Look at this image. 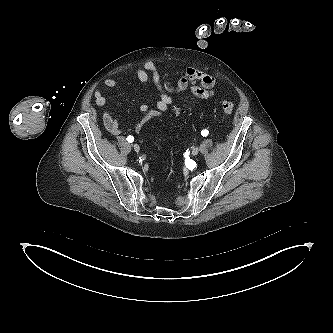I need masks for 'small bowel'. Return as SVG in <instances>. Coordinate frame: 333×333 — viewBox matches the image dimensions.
Wrapping results in <instances>:
<instances>
[{
	"instance_id": "c3829d8e",
	"label": "small bowel",
	"mask_w": 333,
	"mask_h": 333,
	"mask_svg": "<svg viewBox=\"0 0 333 333\" xmlns=\"http://www.w3.org/2000/svg\"><path fill=\"white\" fill-rule=\"evenodd\" d=\"M136 76L143 83L151 80L159 91L156 109H149L147 104L140 106L144 115L140 122L134 126L137 132L141 131L151 119L160 116L161 112L169 108L173 101V93L188 89L196 98L208 99L214 95L217 84L214 76L194 68H187L176 74L175 81L172 82V74L158 68L153 62H146L138 67ZM120 83L121 80L115 78H107L104 81V85L108 88L117 87ZM94 99L97 106L104 107L106 105L107 99L101 90L95 91ZM103 123L111 135L121 134L122 129L109 110H105L103 113Z\"/></svg>"
}]
</instances>
